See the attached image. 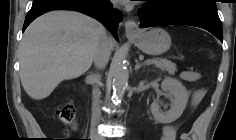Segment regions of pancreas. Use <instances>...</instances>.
Returning a JSON list of instances; mask_svg holds the SVG:
<instances>
[{"label": "pancreas", "instance_id": "1", "mask_svg": "<svg viewBox=\"0 0 236 140\" xmlns=\"http://www.w3.org/2000/svg\"><path fill=\"white\" fill-rule=\"evenodd\" d=\"M154 65L163 71H167L170 74H174L177 71V67L174 63L166 59H155Z\"/></svg>", "mask_w": 236, "mask_h": 140}]
</instances>
